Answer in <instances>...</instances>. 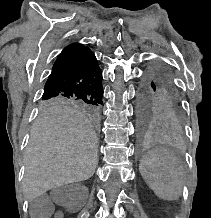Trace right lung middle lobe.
Segmentation results:
<instances>
[{
    "instance_id": "right-lung-middle-lobe-1",
    "label": "right lung middle lobe",
    "mask_w": 211,
    "mask_h": 218,
    "mask_svg": "<svg viewBox=\"0 0 211 218\" xmlns=\"http://www.w3.org/2000/svg\"><path fill=\"white\" fill-rule=\"evenodd\" d=\"M80 106L86 108L91 113H98L100 105L97 102H93L88 99H80L75 97H48L42 98L40 107L43 110L54 109L62 106Z\"/></svg>"
}]
</instances>
